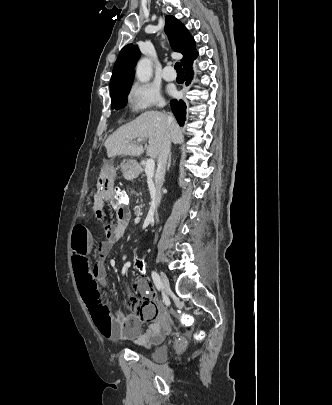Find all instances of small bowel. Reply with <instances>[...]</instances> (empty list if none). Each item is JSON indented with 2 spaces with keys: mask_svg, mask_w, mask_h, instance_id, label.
<instances>
[{
  "mask_svg": "<svg viewBox=\"0 0 332 405\" xmlns=\"http://www.w3.org/2000/svg\"><path fill=\"white\" fill-rule=\"evenodd\" d=\"M123 168L136 172L138 164L133 159H127ZM117 171L115 164H102L98 183L95 185V198L92 215L98 219L103 218L105 203H112L113 197L111 181L113 173ZM116 224L105 227L106 240L99 244V260L95 265L90 261V254L94 246V239L90 231L83 225H75L72 230L70 248L71 264L78 286L80 302L87 305L89 320L92 326L106 339L114 342L133 341L138 346L151 347V344H161V327L165 320L163 306L158 303L153 291L144 278L137 279L133 284V312L123 314L110 311V301H102L101 283L105 282V269L103 260L110 252L112 246L120 240L124 228L131 220L129 206L124 212H115ZM115 261L111 260V265ZM130 264V262H128ZM146 266V264H145ZM140 272V270H138ZM141 273V272H140ZM149 322L143 332L145 324Z\"/></svg>",
  "mask_w": 332,
  "mask_h": 405,
  "instance_id": "c3829d8e",
  "label": "small bowel"
}]
</instances>
